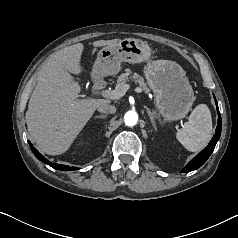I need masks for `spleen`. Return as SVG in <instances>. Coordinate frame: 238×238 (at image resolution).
I'll return each mask as SVG.
<instances>
[{"label": "spleen", "instance_id": "spleen-1", "mask_svg": "<svg viewBox=\"0 0 238 238\" xmlns=\"http://www.w3.org/2000/svg\"><path fill=\"white\" fill-rule=\"evenodd\" d=\"M212 118L206 104L197 105L181 129L176 133L177 140L191 152L205 148L212 137Z\"/></svg>", "mask_w": 238, "mask_h": 238}]
</instances>
